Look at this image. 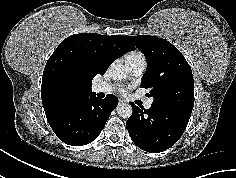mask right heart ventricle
<instances>
[{
  "label": "right heart ventricle",
  "instance_id": "obj_1",
  "mask_svg": "<svg viewBox=\"0 0 236 178\" xmlns=\"http://www.w3.org/2000/svg\"><path fill=\"white\" fill-rule=\"evenodd\" d=\"M127 57L144 58L143 54L139 51H133V52L129 53Z\"/></svg>",
  "mask_w": 236,
  "mask_h": 178
}]
</instances>
